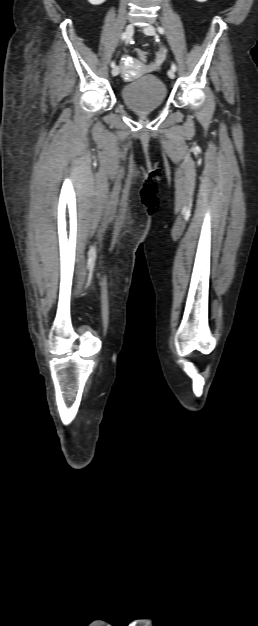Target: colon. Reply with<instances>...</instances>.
<instances>
[{"mask_svg":"<svg viewBox=\"0 0 258 626\" xmlns=\"http://www.w3.org/2000/svg\"><path fill=\"white\" fill-rule=\"evenodd\" d=\"M136 54H137L138 58H139L140 60H142V61H145V60H146V58H147V54H146V52H145V51H143V50H141V49H137V50H136Z\"/></svg>","mask_w":258,"mask_h":626,"instance_id":"1","label":"colon"}]
</instances>
